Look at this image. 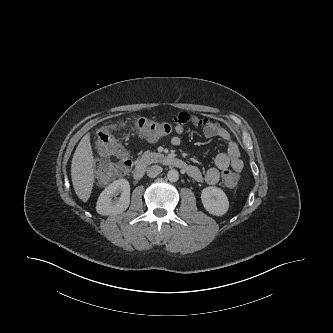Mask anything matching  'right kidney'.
Wrapping results in <instances>:
<instances>
[{
  "label": "right kidney",
  "instance_id": "obj_1",
  "mask_svg": "<svg viewBox=\"0 0 333 333\" xmlns=\"http://www.w3.org/2000/svg\"><path fill=\"white\" fill-rule=\"evenodd\" d=\"M121 193L119 198L116 196ZM115 197L114 200L112 198ZM130 204V184L126 179L112 182L100 194L96 211L100 215H115L124 212Z\"/></svg>",
  "mask_w": 333,
  "mask_h": 333
}]
</instances>
